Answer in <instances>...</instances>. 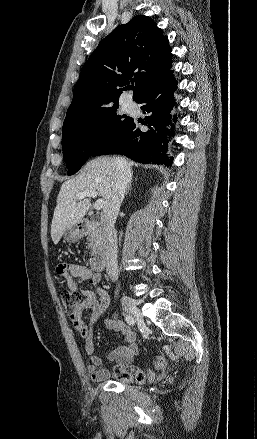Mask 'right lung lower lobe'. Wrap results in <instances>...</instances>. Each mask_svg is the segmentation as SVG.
Segmentation results:
<instances>
[{"mask_svg":"<svg viewBox=\"0 0 257 439\" xmlns=\"http://www.w3.org/2000/svg\"><path fill=\"white\" fill-rule=\"evenodd\" d=\"M176 89L177 82L170 70L137 102L142 104L141 109L147 115L145 121L132 118L118 135L99 146L91 156L119 153L136 162L170 166L173 157H168L166 152L177 121L176 116L172 118L170 115L175 105L173 92Z\"/></svg>","mask_w":257,"mask_h":439,"instance_id":"98d812e1","label":"right lung lower lobe"}]
</instances>
